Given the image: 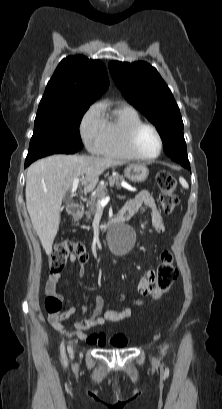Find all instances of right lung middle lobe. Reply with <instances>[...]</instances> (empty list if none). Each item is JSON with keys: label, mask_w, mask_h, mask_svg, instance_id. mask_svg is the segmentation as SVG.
<instances>
[{"label": "right lung middle lobe", "mask_w": 222, "mask_h": 409, "mask_svg": "<svg viewBox=\"0 0 222 409\" xmlns=\"http://www.w3.org/2000/svg\"><path fill=\"white\" fill-rule=\"evenodd\" d=\"M89 106L75 104L38 109L25 163L52 154H71L82 149L79 125Z\"/></svg>", "instance_id": "dd1d6c3e"}]
</instances>
